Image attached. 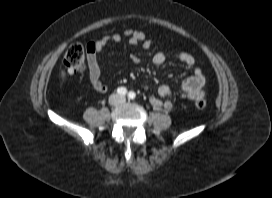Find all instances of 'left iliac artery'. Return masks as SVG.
<instances>
[{
	"mask_svg": "<svg viewBox=\"0 0 272 198\" xmlns=\"http://www.w3.org/2000/svg\"><path fill=\"white\" fill-rule=\"evenodd\" d=\"M128 97L129 99H134L136 97V94L133 91H131L129 92Z\"/></svg>",
	"mask_w": 272,
	"mask_h": 198,
	"instance_id": "left-iliac-artery-1",
	"label": "left iliac artery"
}]
</instances>
